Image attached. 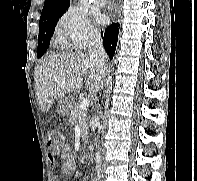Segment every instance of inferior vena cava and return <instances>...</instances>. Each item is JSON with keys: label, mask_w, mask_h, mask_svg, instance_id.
<instances>
[{"label": "inferior vena cava", "mask_w": 197, "mask_h": 181, "mask_svg": "<svg viewBox=\"0 0 197 181\" xmlns=\"http://www.w3.org/2000/svg\"><path fill=\"white\" fill-rule=\"evenodd\" d=\"M88 49H89V56L91 61L96 64L97 68L100 70L101 74L104 76L108 75V66L105 62L106 53L103 47V41L99 32L95 31L90 34L89 41H88ZM95 161H96V171H97V178L96 181L101 180V173H102V162H101V155L99 151L95 153Z\"/></svg>", "instance_id": "obj_1"}]
</instances>
